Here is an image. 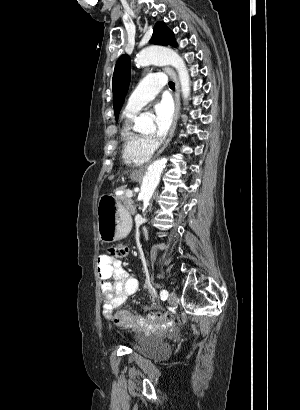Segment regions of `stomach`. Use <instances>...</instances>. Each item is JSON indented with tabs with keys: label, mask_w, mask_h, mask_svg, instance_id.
<instances>
[{
	"label": "stomach",
	"mask_w": 300,
	"mask_h": 410,
	"mask_svg": "<svg viewBox=\"0 0 300 410\" xmlns=\"http://www.w3.org/2000/svg\"><path fill=\"white\" fill-rule=\"evenodd\" d=\"M134 180L138 177L132 175ZM131 218L116 199L104 195L99 199L97 207V228L103 242L110 243L124 238L130 230Z\"/></svg>",
	"instance_id": "stomach-1"
}]
</instances>
